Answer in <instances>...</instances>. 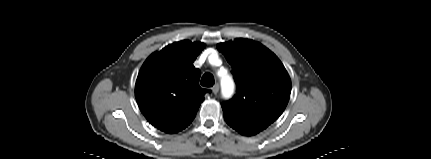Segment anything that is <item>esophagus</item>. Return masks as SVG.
I'll return each instance as SVG.
<instances>
[{"mask_svg": "<svg viewBox=\"0 0 431 159\" xmlns=\"http://www.w3.org/2000/svg\"><path fill=\"white\" fill-rule=\"evenodd\" d=\"M211 91H212V94H217V93H218V91H219V85H218V84H215V85L212 87Z\"/></svg>", "mask_w": 431, "mask_h": 159, "instance_id": "34e87169", "label": "esophagus"}]
</instances>
